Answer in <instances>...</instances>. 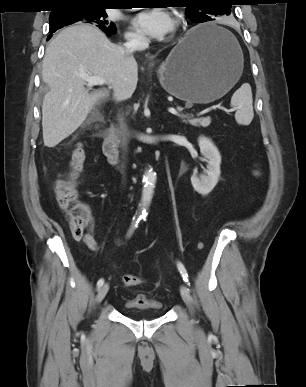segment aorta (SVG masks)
Wrapping results in <instances>:
<instances>
[{"label":"aorta","instance_id":"762f6f07","mask_svg":"<svg viewBox=\"0 0 306 387\" xmlns=\"http://www.w3.org/2000/svg\"><path fill=\"white\" fill-rule=\"evenodd\" d=\"M155 183L156 173H154L152 169L147 170L143 176V190L140 204L143 212H146L148 206L150 205L154 193Z\"/></svg>","mask_w":306,"mask_h":387}]
</instances>
